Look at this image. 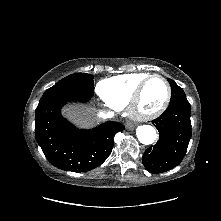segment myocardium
<instances>
[{
	"label": "myocardium",
	"instance_id": "obj_1",
	"mask_svg": "<svg viewBox=\"0 0 221 221\" xmlns=\"http://www.w3.org/2000/svg\"><path fill=\"white\" fill-rule=\"evenodd\" d=\"M153 78H158L163 81V83L166 86V96H165L164 101L162 102V104L159 107H157L156 109H154L152 111L144 112L140 109L142 94H143L145 87L149 83V81ZM171 95H172V89H171L170 83L168 82V80L165 77H163L162 75H159V74L148 75L138 85V87L134 91L129 104L127 105L128 113L132 119L137 120V121L150 120V119L160 115L168 107L170 100H171Z\"/></svg>",
	"mask_w": 221,
	"mask_h": 221
}]
</instances>
